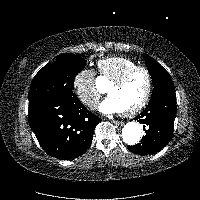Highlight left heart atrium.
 <instances>
[{"label":"left heart atrium","mask_w":200,"mask_h":200,"mask_svg":"<svg viewBox=\"0 0 200 200\" xmlns=\"http://www.w3.org/2000/svg\"><path fill=\"white\" fill-rule=\"evenodd\" d=\"M98 110L104 114H114L122 112L120 106L118 105L117 101L112 97L109 96L105 98L99 105Z\"/></svg>","instance_id":"1"}]
</instances>
